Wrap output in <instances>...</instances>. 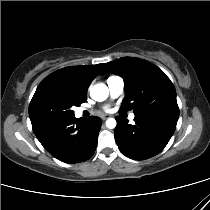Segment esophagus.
<instances>
[{
	"mask_svg": "<svg viewBox=\"0 0 210 210\" xmlns=\"http://www.w3.org/2000/svg\"><path fill=\"white\" fill-rule=\"evenodd\" d=\"M101 118H102V120H106L107 118H109V115L104 114V115L101 116Z\"/></svg>",
	"mask_w": 210,
	"mask_h": 210,
	"instance_id": "esophagus-1",
	"label": "esophagus"
}]
</instances>
